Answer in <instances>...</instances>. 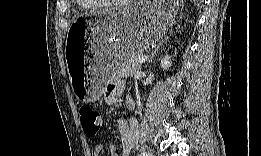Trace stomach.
Instances as JSON below:
<instances>
[{
  "instance_id": "0dacf381",
  "label": "stomach",
  "mask_w": 261,
  "mask_h": 156,
  "mask_svg": "<svg viewBox=\"0 0 261 156\" xmlns=\"http://www.w3.org/2000/svg\"><path fill=\"white\" fill-rule=\"evenodd\" d=\"M177 11L176 2H128L78 18L68 31L65 48L77 99L83 103L99 99L113 69L162 39ZM81 42L90 43L91 59L79 61L75 57L74 46Z\"/></svg>"
}]
</instances>
